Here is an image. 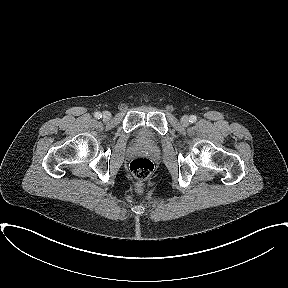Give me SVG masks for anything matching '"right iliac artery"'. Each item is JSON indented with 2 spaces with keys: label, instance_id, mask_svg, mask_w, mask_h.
Returning a JSON list of instances; mask_svg holds the SVG:
<instances>
[{
  "label": "right iliac artery",
  "instance_id": "1",
  "mask_svg": "<svg viewBox=\"0 0 288 288\" xmlns=\"http://www.w3.org/2000/svg\"><path fill=\"white\" fill-rule=\"evenodd\" d=\"M94 116H95V118H97V119H100V118L102 117V115H101L100 112H96Z\"/></svg>",
  "mask_w": 288,
  "mask_h": 288
}]
</instances>
